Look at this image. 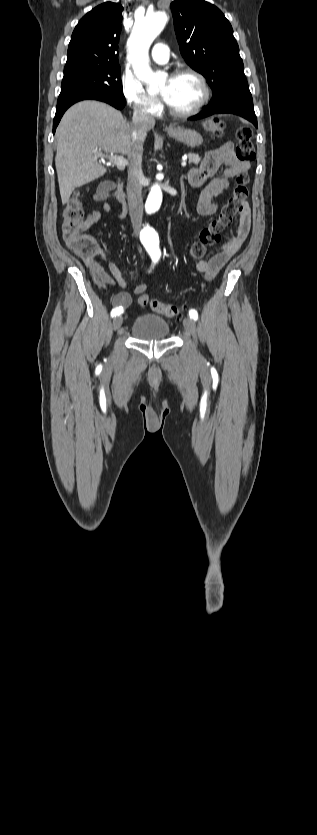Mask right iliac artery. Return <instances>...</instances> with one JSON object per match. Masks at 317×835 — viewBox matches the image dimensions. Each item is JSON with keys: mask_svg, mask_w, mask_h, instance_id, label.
<instances>
[{"mask_svg": "<svg viewBox=\"0 0 317 835\" xmlns=\"http://www.w3.org/2000/svg\"><path fill=\"white\" fill-rule=\"evenodd\" d=\"M157 261H158V258H153V262H154V263H156ZM122 313H123V309H122V308H120V307H119V308H118V307H115V308H113V309H112V311H111V316H112V317H115V316L120 315V314H122Z\"/></svg>", "mask_w": 317, "mask_h": 835, "instance_id": "obj_1", "label": "right iliac artery"}]
</instances>
